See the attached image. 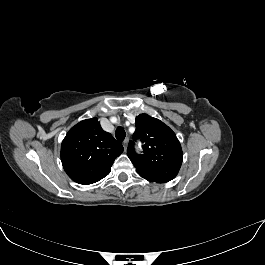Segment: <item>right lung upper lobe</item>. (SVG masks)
Returning <instances> with one entry per match:
<instances>
[{
  "label": "right lung upper lobe",
  "mask_w": 265,
  "mask_h": 265,
  "mask_svg": "<svg viewBox=\"0 0 265 265\" xmlns=\"http://www.w3.org/2000/svg\"><path fill=\"white\" fill-rule=\"evenodd\" d=\"M122 152V144L102 129L97 118H91L68 131L61 145V161L73 181L88 185L107 176Z\"/></svg>",
  "instance_id": "cb5924a9"
}]
</instances>
